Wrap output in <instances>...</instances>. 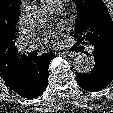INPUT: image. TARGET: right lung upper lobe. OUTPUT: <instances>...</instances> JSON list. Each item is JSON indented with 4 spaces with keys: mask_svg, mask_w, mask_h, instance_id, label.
<instances>
[{
    "mask_svg": "<svg viewBox=\"0 0 113 113\" xmlns=\"http://www.w3.org/2000/svg\"><path fill=\"white\" fill-rule=\"evenodd\" d=\"M19 5L20 0H0V74L5 83L16 75L26 57L18 54L15 46Z\"/></svg>",
    "mask_w": 113,
    "mask_h": 113,
    "instance_id": "right-lung-upper-lobe-1",
    "label": "right lung upper lobe"
}]
</instances>
